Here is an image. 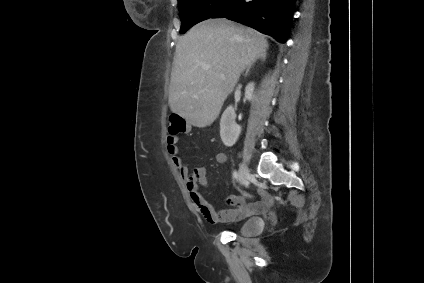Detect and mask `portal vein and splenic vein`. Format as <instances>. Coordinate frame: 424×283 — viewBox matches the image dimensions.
<instances>
[{
  "mask_svg": "<svg viewBox=\"0 0 424 283\" xmlns=\"http://www.w3.org/2000/svg\"><path fill=\"white\" fill-rule=\"evenodd\" d=\"M203 68L206 69V70H208V69H210V65H203ZM222 78H224L223 75H222Z\"/></svg>",
  "mask_w": 424,
  "mask_h": 283,
  "instance_id": "obj_1",
  "label": "portal vein and splenic vein"
}]
</instances>
